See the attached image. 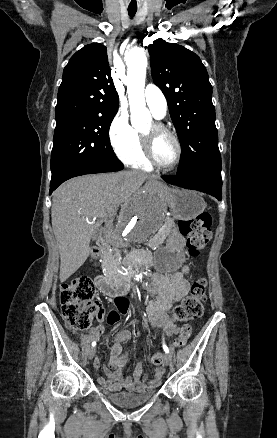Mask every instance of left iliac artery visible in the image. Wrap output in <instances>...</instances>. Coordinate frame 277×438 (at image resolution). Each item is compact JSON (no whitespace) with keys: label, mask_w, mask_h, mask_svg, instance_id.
Wrapping results in <instances>:
<instances>
[{"label":"left iliac artery","mask_w":277,"mask_h":438,"mask_svg":"<svg viewBox=\"0 0 277 438\" xmlns=\"http://www.w3.org/2000/svg\"><path fill=\"white\" fill-rule=\"evenodd\" d=\"M163 350L165 351V353H169V349H168V347L166 346V344L164 343V341H163Z\"/></svg>","instance_id":"1"}]
</instances>
